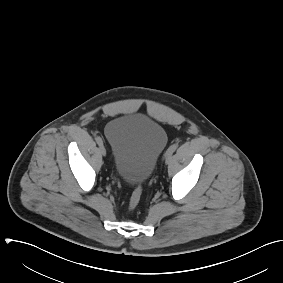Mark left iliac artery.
<instances>
[{"mask_svg": "<svg viewBox=\"0 0 283 283\" xmlns=\"http://www.w3.org/2000/svg\"><path fill=\"white\" fill-rule=\"evenodd\" d=\"M177 147H178V144L171 145L165 153V158L172 156V154L175 152Z\"/></svg>", "mask_w": 283, "mask_h": 283, "instance_id": "obj_1", "label": "left iliac artery"}]
</instances>
